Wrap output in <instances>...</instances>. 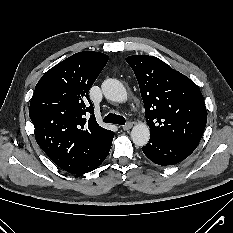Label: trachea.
<instances>
[{"instance_id": "obj_1", "label": "trachea", "mask_w": 233, "mask_h": 233, "mask_svg": "<svg viewBox=\"0 0 233 233\" xmlns=\"http://www.w3.org/2000/svg\"><path fill=\"white\" fill-rule=\"evenodd\" d=\"M106 123H113V124H119V125H125V118L121 115L110 113L103 119Z\"/></svg>"}]
</instances>
